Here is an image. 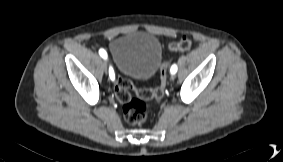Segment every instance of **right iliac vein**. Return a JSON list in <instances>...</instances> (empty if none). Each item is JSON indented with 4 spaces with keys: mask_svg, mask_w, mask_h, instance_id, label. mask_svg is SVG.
Returning a JSON list of instances; mask_svg holds the SVG:
<instances>
[{
    "mask_svg": "<svg viewBox=\"0 0 283 162\" xmlns=\"http://www.w3.org/2000/svg\"><path fill=\"white\" fill-rule=\"evenodd\" d=\"M103 69H104L105 72H107L108 66H107L106 62L103 63Z\"/></svg>",
    "mask_w": 283,
    "mask_h": 162,
    "instance_id": "63e3f726",
    "label": "right iliac vein"
}]
</instances>
